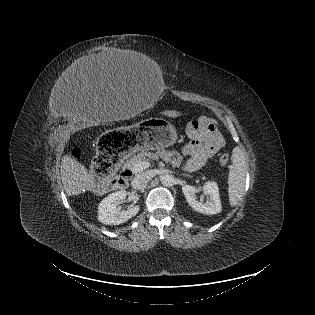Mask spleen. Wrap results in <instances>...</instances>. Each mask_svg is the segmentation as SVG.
Masks as SVG:
<instances>
[{
    "label": "spleen",
    "instance_id": "spleen-1",
    "mask_svg": "<svg viewBox=\"0 0 315 315\" xmlns=\"http://www.w3.org/2000/svg\"><path fill=\"white\" fill-rule=\"evenodd\" d=\"M247 171V160L243 151L235 147L232 153V165L228 176V195L231 206H236L243 194Z\"/></svg>",
    "mask_w": 315,
    "mask_h": 315
}]
</instances>
